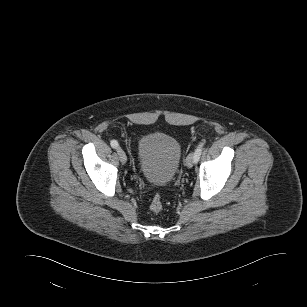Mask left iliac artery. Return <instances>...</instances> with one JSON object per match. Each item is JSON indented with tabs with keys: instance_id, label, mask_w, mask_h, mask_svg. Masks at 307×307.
Masks as SVG:
<instances>
[{
	"instance_id": "obj_1",
	"label": "left iliac artery",
	"mask_w": 307,
	"mask_h": 307,
	"mask_svg": "<svg viewBox=\"0 0 307 307\" xmlns=\"http://www.w3.org/2000/svg\"><path fill=\"white\" fill-rule=\"evenodd\" d=\"M203 146L199 145L194 152V162L197 163L199 161L200 155L202 153Z\"/></svg>"
}]
</instances>
